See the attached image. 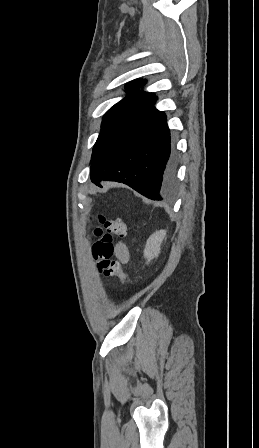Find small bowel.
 <instances>
[{"label": "small bowel", "mask_w": 259, "mask_h": 448, "mask_svg": "<svg viewBox=\"0 0 259 448\" xmlns=\"http://www.w3.org/2000/svg\"><path fill=\"white\" fill-rule=\"evenodd\" d=\"M115 255L121 264H126L129 261L130 255L127 246L123 242H119L115 246Z\"/></svg>", "instance_id": "c3829d8e"}]
</instances>
